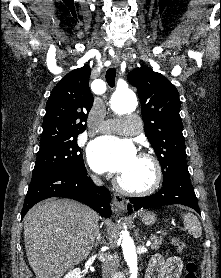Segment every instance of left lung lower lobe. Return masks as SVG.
I'll return each mask as SVG.
<instances>
[{"mask_svg":"<svg viewBox=\"0 0 221 278\" xmlns=\"http://www.w3.org/2000/svg\"><path fill=\"white\" fill-rule=\"evenodd\" d=\"M163 187L156 194L146 197L130 198L128 213L140 208L148 209L164 205L182 204L193 208L200 214L197 198L190 182L188 169L176 171L173 175L163 180Z\"/></svg>","mask_w":221,"mask_h":278,"instance_id":"1","label":"left lung lower lobe"}]
</instances>
